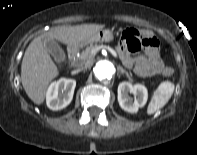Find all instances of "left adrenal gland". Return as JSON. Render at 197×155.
<instances>
[{
  "instance_id": "obj_1",
  "label": "left adrenal gland",
  "mask_w": 197,
  "mask_h": 155,
  "mask_svg": "<svg viewBox=\"0 0 197 155\" xmlns=\"http://www.w3.org/2000/svg\"><path fill=\"white\" fill-rule=\"evenodd\" d=\"M119 70L121 71L122 74H126L128 79L131 80V77H130L129 73L126 70H124L122 67H119Z\"/></svg>"
}]
</instances>
